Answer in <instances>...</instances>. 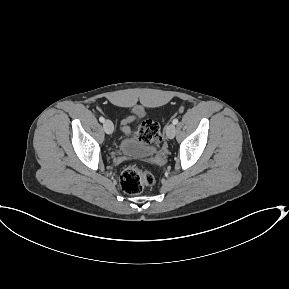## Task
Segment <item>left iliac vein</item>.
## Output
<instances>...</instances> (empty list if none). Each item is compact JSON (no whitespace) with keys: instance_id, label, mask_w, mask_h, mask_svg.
Returning a JSON list of instances; mask_svg holds the SVG:
<instances>
[{"instance_id":"4c4485c4","label":"left iliac vein","mask_w":289,"mask_h":289,"mask_svg":"<svg viewBox=\"0 0 289 289\" xmlns=\"http://www.w3.org/2000/svg\"><path fill=\"white\" fill-rule=\"evenodd\" d=\"M176 134V128L174 124H169L166 127V135L169 139H173Z\"/></svg>"}]
</instances>
